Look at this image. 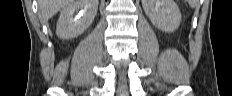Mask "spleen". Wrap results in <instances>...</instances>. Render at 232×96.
Returning a JSON list of instances; mask_svg holds the SVG:
<instances>
[{"instance_id": "1", "label": "spleen", "mask_w": 232, "mask_h": 96, "mask_svg": "<svg viewBox=\"0 0 232 96\" xmlns=\"http://www.w3.org/2000/svg\"><path fill=\"white\" fill-rule=\"evenodd\" d=\"M191 7H195L196 1L195 0H189L188 1Z\"/></svg>"}]
</instances>
